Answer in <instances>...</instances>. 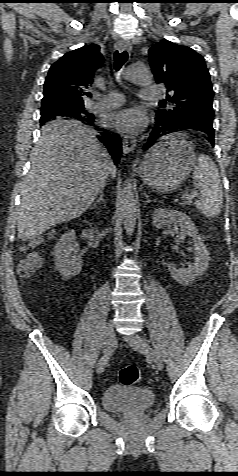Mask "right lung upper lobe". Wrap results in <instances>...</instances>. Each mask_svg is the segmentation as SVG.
<instances>
[{
    "label": "right lung upper lobe",
    "mask_w": 238,
    "mask_h": 476,
    "mask_svg": "<svg viewBox=\"0 0 238 476\" xmlns=\"http://www.w3.org/2000/svg\"><path fill=\"white\" fill-rule=\"evenodd\" d=\"M103 65L100 47L83 46L66 53L49 69L44 83L43 101L84 105L94 74ZM42 124V123H41Z\"/></svg>",
    "instance_id": "1"
}]
</instances>
